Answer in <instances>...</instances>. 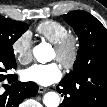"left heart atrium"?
Masks as SVG:
<instances>
[{
	"label": "left heart atrium",
	"mask_w": 107,
	"mask_h": 107,
	"mask_svg": "<svg viewBox=\"0 0 107 107\" xmlns=\"http://www.w3.org/2000/svg\"><path fill=\"white\" fill-rule=\"evenodd\" d=\"M62 76V71L57 63L34 64L25 69L22 77L25 81L48 86L57 82Z\"/></svg>",
	"instance_id": "39dd6f15"
}]
</instances>
